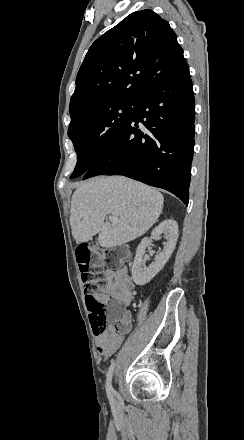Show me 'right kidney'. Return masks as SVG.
Listing matches in <instances>:
<instances>
[{
	"label": "right kidney",
	"instance_id": "1",
	"mask_svg": "<svg viewBox=\"0 0 244 440\" xmlns=\"http://www.w3.org/2000/svg\"><path fill=\"white\" fill-rule=\"evenodd\" d=\"M161 234H164V238L167 240L166 244H164V250L159 252L154 262L146 268L145 260H143L145 250L147 246L151 244L152 240H157V238H160ZM177 238L178 224L175 220H172V218L171 220H164L159 226H156L150 238H143L141 244H139L136 250L135 260L131 270L133 282H135L137 286L148 284V282H151L152 278L164 268L167 260H169L175 250Z\"/></svg>",
	"mask_w": 244,
	"mask_h": 440
}]
</instances>
